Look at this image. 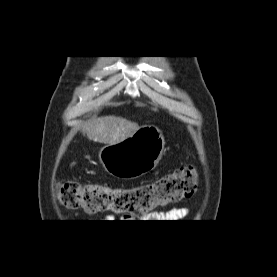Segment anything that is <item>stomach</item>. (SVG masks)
Instances as JSON below:
<instances>
[{"mask_svg": "<svg viewBox=\"0 0 277 277\" xmlns=\"http://www.w3.org/2000/svg\"><path fill=\"white\" fill-rule=\"evenodd\" d=\"M165 140L156 126H144L130 137L100 149L99 160L109 174L135 179L153 170L164 152Z\"/></svg>", "mask_w": 277, "mask_h": 277, "instance_id": "obj_1", "label": "stomach"}]
</instances>
